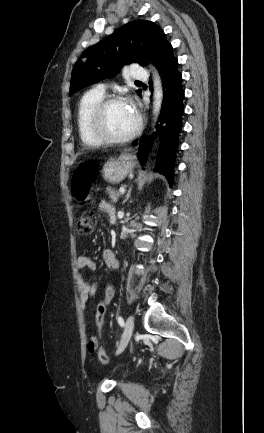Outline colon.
Here are the masks:
<instances>
[{
	"label": "colon",
	"instance_id": "5ec220e1",
	"mask_svg": "<svg viewBox=\"0 0 264 433\" xmlns=\"http://www.w3.org/2000/svg\"><path fill=\"white\" fill-rule=\"evenodd\" d=\"M97 175L98 165L94 161H86L78 165L74 170L71 179L72 194L81 203L87 201L90 194V188L96 181ZM95 224V214L92 211H85L78 221L77 230L81 235H89L94 230ZM108 304L109 303L104 298L96 307L95 323L99 333H101L103 329ZM98 357L103 364L108 362V357L102 348H99L98 350Z\"/></svg>",
	"mask_w": 264,
	"mask_h": 433
}]
</instances>
